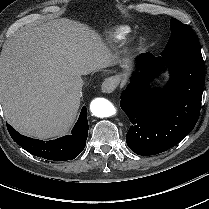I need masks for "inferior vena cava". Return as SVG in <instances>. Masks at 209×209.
Listing matches in <instances>:
<instances>
[{
    "instance_id": "inferior-vena-cava-1",
    "label": "inferior vena cava",
    "mask_w": 209,
    "mask_h": 209,
    "mask_svg": "<svg viewBox=\"0 0 209 209\" xmlns=\"http://www.w3.org/2000/svg\"><path fill=\"white\" fill-rule=\"evenodd\" d=\"M83 85H84L83 78H78L73 83V87L78 91H80L82 89Z\"/></svg>"
}]
</instances>
